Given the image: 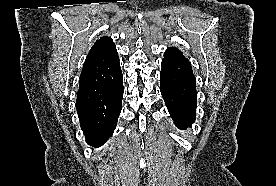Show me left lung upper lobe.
<instances>
[{"label": "left lung upper lobe", "mask_w": 276, "mask_h": 186, "mask_svg": "<svg viewBox=\"0 0 276 186\" xmlns=\"http://www.w3.org/2000/svg\"><path fill=\"white\" fill-rule=\"evenodd\" d=\"M164 59L177 62L189 63V60L186 59L183 53L176 47L167 48L164 53Z\"/></svg>", "instance_id": "obj_1"}]
</instances>
